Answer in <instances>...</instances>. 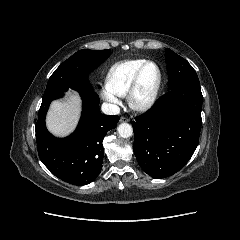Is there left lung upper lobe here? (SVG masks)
Masks as SVG:
<instances>
[{
  "instance_id": "5c2ea615",
  "label": "left lung upper lobe",
  "mask_w": 240,
  "mask_h": 240,
  "mask_svg": "<svg viewBox=\"0 0 240 240\" xmlns=\"http://www.w3.org/2000/svg\"><path fill=\"white\" fill-rule=\"evenodd\" d=\"M165 59L170 90L180 86L200 87L195 70L185 59L168 48L166 49Z\"/></svg>"
}]
</instances>
